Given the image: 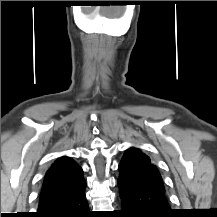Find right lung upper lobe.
I'll return each instance as SVG.
<instances>
[{
	"mask_svg": "<svg viewBox=\"0 0 217 217\" xmlns=\"http://www.w3.org/2000/svg\"><path fill=\"white\" fill-rule=\"evenodd\" d=\"M85 188L81 167L73 159L63 156L45 174L39 205L72 196Z\"/></svg>",
	"mask_w": 217,
	"mask_h": 217,
	"instance_id": "right-lung-upper-lobe-1",
	"label": "right lung upper lobe"
}]
</instances>
